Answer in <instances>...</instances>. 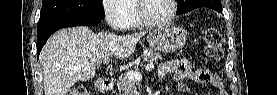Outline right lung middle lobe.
Listing matches in <instances>:
<instances>
[{"mask_svg": "<svg viewBox=\"0 0 277 95\" xmlns=\"http://www.w3.org/2000/svg\"><path fill=\"white\" fill-rule=\"evenodd\" d=\"M102 0H42L38 26L60 21L101 20Z\"/></svg>", "mask_w": 277, "mask_h": 95, "instance_id": "right-lung-middle-lobe-1", "label": "right lung middle lobe"}]
</instances>
